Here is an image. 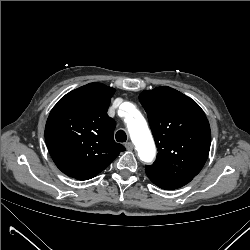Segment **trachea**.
Segmentation results:
<instances>
[{"mask_svg": "<svg viewBox=\"0 0 250 250\" xmlns=\"http://www.w3.org/2000/svg\"><path fill=\"white\" fill-rule=\"evenodd\" d=\"M118 142H125L127 140V135L123 130H119L115 136Z\"/></svg>", "mask_w": 250, "mask_h": 250, "instance_id": "3493384b", "label": "trachea"}]
</instances>
